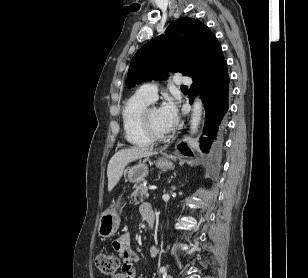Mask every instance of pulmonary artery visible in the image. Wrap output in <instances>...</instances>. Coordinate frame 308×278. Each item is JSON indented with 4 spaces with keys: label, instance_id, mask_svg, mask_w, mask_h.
Wrapping results in <instances>:
<instances>
[{
    "label": "pulmonary artery",
    "instance_id": "1",
    "mask_svg": "<svg viewBox=\"0 0 308 278\" xmlns=\"http://www.w3.org/2000/svg\"><path fill=\"white\" fill-rule=\"evenodd\" d=\"M176 85H184L188 86L191 85L192 80L190 77L187 76H177L175 79ZM158 88L155 84H144L142 85L137 93L140 94L142 97L146 98L148 101L153 102L157 98Z\"/></svg>",
    "mask_w": 308,
    "mask_h": 278
}]
</instances>
